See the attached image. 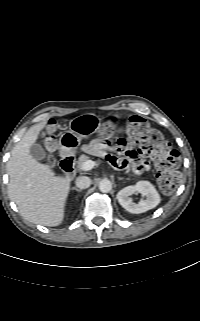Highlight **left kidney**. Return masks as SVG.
Returning <instances> with one entry per match:
<instances>
[{
  "mask_svg": "<svg viewBox=\"0 0 200 321\" xmlns=\"http://www.w3.org/2000/svg\"><path fill=\"white\" fill-rule=\"evenodd\" d=\"M135 192L141 193L145 199L134 203L130 196ZM117 199L125 210L133 214L144 213L160 203L158 192L148 181H139L135 185L123 188L117 193Z\"/></svg>",
  "mask_w": 200,
  "mask_h": 321,
  "instance_id": "obj_1",
  "label": "left kidney"
}]
</instances>
